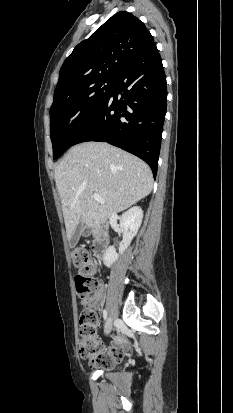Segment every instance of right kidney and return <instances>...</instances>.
I'll list each match as a JSON object with an SVG mask.
<instances>
[{"label":"right kidney","instance_id":"ca27d5eb","mask_svg":"<svg viewBox=\"0 0 233 413\" xmlns=\"http://www.w3.org/2000/svg\"><path fill=\"white\" fill-rule=\"evenodd\" d=\"M143 219V210L139 206H134L127 210L120 218V229L123 235L122 242L119 245V253L116 252L114 246H109L106 250L103 262L107 267H111L117 261L119 255L130 245L132 239L137 234Z\"/></svg>","mask_w":233,"mask_h":413}]
</instances>
